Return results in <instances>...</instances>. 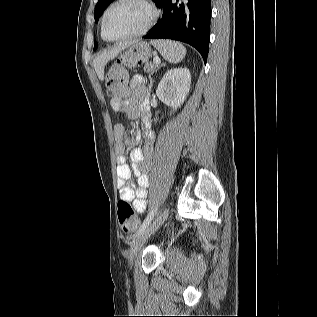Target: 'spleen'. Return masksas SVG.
<instances>
[{
  "mask_svg": "<svg viewBox=\"0 0 317 317\" xmlns=\"http://www.w3.org/2000/svg\"><path fill=\"white\" fill-rule=\"evenodd\" d=\"M151 44L159 51L162 57L170 63H179L186 54V48L179 42L171 40H154Z\"/></svg>",
  "mask_w": 317,
  "mask_h": 317,
  "instance_id": "3e777b00",
  "label": "spleen"
}]
</instances>
